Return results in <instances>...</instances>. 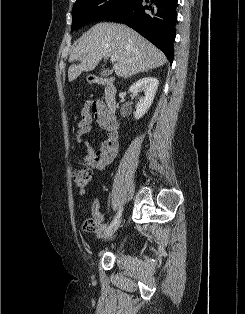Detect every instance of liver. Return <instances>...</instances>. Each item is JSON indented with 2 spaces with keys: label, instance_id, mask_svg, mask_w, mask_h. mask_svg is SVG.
<instances>
[{
  "label": "liver",
  "instance_id": "obj_1",
  "mask_svg": "<svg viewBox=\"0 0 245 314\" xmlns=\"http://www.w3.org/2000/svg\"><path fill=\"white\" fill-rule=\"evenodd\" d=\"M116 56L113 66L119 77H129L164 65L163 52L139 33L118 23H98L85 33L74 47L69 61H79L68 69L69 82L82 72L95 69L103 57Z\"/></svg>",
  "mask_w": 245,
  "mask_h": 314
}]
</instances>
